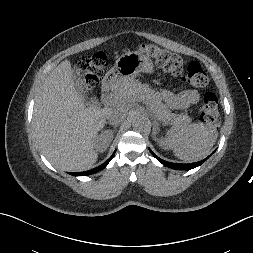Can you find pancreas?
I'll return each mask as SVG.
<instances>
[{
  "label": "pancreas",
  "mask_w": 253,
  "mask_h": 253,
  "mask_svg": "<svg viewBox=\"0 0 253 253\" xmlns=\"http://www.w3.org/2000/svg\"><path fill=\"white\" fill-rule=\"evenodd\" d=\"M137 95H141L145 99L147 105L161 122L174 125H186L191 122L187 114L171 113L160 101L158 93L149 85H142L139 81L132 80L119 86L114 91L113 99L118 104H126Z\"/></svg>",
  "instance_id": "cf45deb5"
}]
</instances>
